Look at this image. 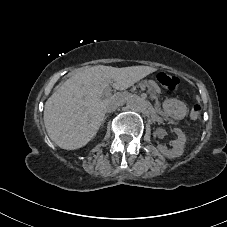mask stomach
<instances>
[{"label":"stomach","instance_id":"1","mask_svg":"<svg viewBox=\"0 0 227 227\" xmlns=\"http://www.w3.org/2000/svg\"><path fill=\"white\" fill-rule=\"evenodd\" d=\"M163 108L166 114H168L175 120L183 119L187 113L186 105L176 99L166 100L163 104Z\"/></svg>","mask_w":227,"mask_h":227}]
</instances>
